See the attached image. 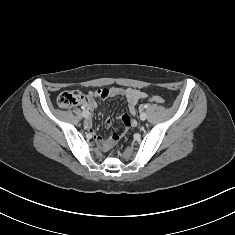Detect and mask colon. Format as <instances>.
I'll use <instances>...</instances> for the list:
<instances>
[{"mask_svg": "<svg viewBox=\"0 0 235 235\" xmlns=\"http://www.w3.org/2000/svg\"><path fill=\"white\" fill-rule=\"evenodd\" d=\"M83 99H84V94L79 90L64 91L58 95L57 104L61 108H70L79 104ZM150 101L156 104L164 103V99L158 95H152L150 97ZM121 120L126 128H129L132 124V120L130 116L127 114L122 115ZM117 139H118L117 134H112L105 138L103 146L106 149L108 155L114 154V144L117 141Z\"/></svg>", "mask_w": 235, "mask_h": 235, "instance_id": "obj_1", "label": "colon"}]
</instances>
